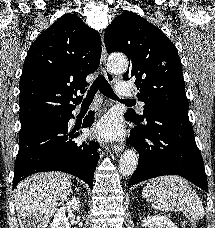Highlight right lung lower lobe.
Masks as SVG:
<instances>
[{"mask_svg": "<svg viewBox=\"0 0 215 228\" xmlns=\"http://www.w3.org/2000/svg\"><path fill=\"white\" fill-rule=\"evenodd\" d=\"M63 114V121L43 126L19 137V152L15 161L13 188L36 172L62 171L88 183L92 189L94 171L99 159L96 141L76 143V129L68 126L72 111ZM94 112L83 120L82 127H91Z\"/></svg>", "mask_w": 215, "mask_h": 228, "instance_id": "1", "label": "right lung lower lobe"}]
</instances>
